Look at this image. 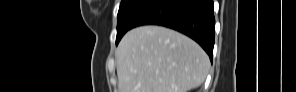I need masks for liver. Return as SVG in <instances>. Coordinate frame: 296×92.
Here are the masks:
<instances>
[{
    "label": "liver",
    "mask_w": 296,
    "mask_h": 92,
    "mask_svg": "<svg viewBox=\"0 0 296 92\" xmlns=\"http://www.w3.org/2000/svg\"><path fill=\"white\" fill-rule=\"evenodd\" d=\"M116 60L119 92H188L203 84L210 68L195 41L151 25L128 31Z\"/></svg>",
    "instance_id": "6515ba94"
}]
</instances>
